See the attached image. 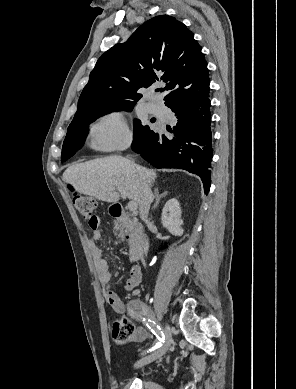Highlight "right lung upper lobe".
Masks as SVG:
<instances>
[{"mask_svg": "<svg viewBox=\"0 0 296 389\" xmlns=\"http://www.w3.org/2000/svg\"><path fill=\"white\" fill-rule=\"evenodd\" d=\"M157 82L166 83L167 107L209 89L200 45L186 25L168 15L148 20L99 58L74 117L92 108L134 106L140 88Z\"/></svg>", "mask_w": 296, "mask_h": 389, "instance_id": "right-lung-upper-lobe-1", "label": "right lung upper lobe"}]
</instances>
